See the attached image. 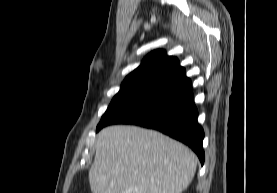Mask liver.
Instances as JSON below:
<instances>
[{"label": "liver", "instance_id": "6515ba94", "mask_svg": "<svg viewBox=\"0 0 277 193\" xmlns=\"http://www.w3.org/2000/svg\"><path fill=\"white\" fill-rule=\"evenodd\" d=\"M95 150L89 170L92 193H181L198 161L182 143L136 126L104 128Z\"/></svg>", "mask_w": 277, "mask_h": 193}]
</instances>
